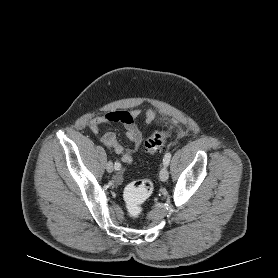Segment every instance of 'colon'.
Returning <instances> with one entry per match:
<instances>
[{
	"instance_id": "obj_1",
	"label": "colon",
	"mask_w": 278,
	"mask_h": 278,
	"mask_svg": "<svg viewBox=\"0 0 278 278\" xmlns=\"http://www.w3.org/2000/svg\"><path fill=\"white\" fill-rule=\"evenodd\" d=\"M168 138L167 131H155L144 142L149 153L158 152ZM153 191V183L148 179L137 180L127 185L124 191V200L127 212L131 218L137 219L143 213L144 202Z\"/></svg>"
}]
</instances>
